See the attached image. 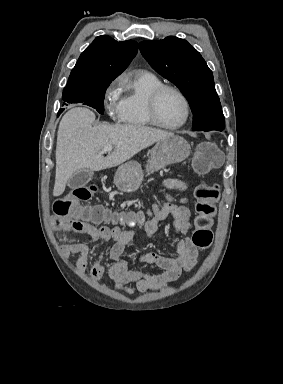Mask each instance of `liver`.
Listing matches in <instances>:
<instances>
[{
  "label": "liver",
  "mask_w": 283,
  "mask_h": 384,
  "mask_svg": "<svg viewBox=\"0 0 283 384\" xmlns=\"http://www.w3.org/2000/svg\"><path fill=\"white\" fill-rule=\"evenodd\" d=\"M95 118L94 112L88 108H72L63 116L57 134L53 196H61L68 180L80 170L99 172L115 168L155 142L174 136L172 132L147 128L142 124L93 128ZM106 144H112L115 150L104 158Z\"/></svg>",
  "instance_id": "liver-1"
}]
</instances>
